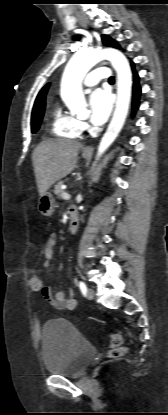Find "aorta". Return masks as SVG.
<instances>
[{
    "label": "aorta",
    "mask_w": 168,
    "mask_h": 415,
    "mask_svg": "<svg viewBox=\"0 0 168 415\" xmlns=\"http://www.w3.org/2000/svg\"><path fill=\"white\" fill-rule=\"evenodd\" d=\"M109 60L117 72V101L113 118L98 147V157L118 136L127 117L132 87V74L126 57L117 49H92L77 52L68 62L61 82V98L71 111L84 110L85 97L82 80L99 61Z\"/></svg>",
    "instance_id": "762f6f07"
}]
</instances>
